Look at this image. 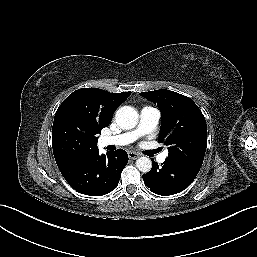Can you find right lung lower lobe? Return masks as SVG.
Returning <instances> with one entry per match:
<instances>
[{"mask_svg": "<svg viewBox=\"0 0 257 257\" xmlns=\"http://www.w3.org/2000/svg\"><path fill=\"white\" fill-rule=\"evenodd\" d=\"M128 162L123 149L99 155L98 149L78 158L57 163L63 177L78 192L90 196L114 190Z\"/></svg>", "mask_w": 257, "mask_h": 257, "instance_id": "obj_1", "label": "right lung lower lobe"}]
</instances>
